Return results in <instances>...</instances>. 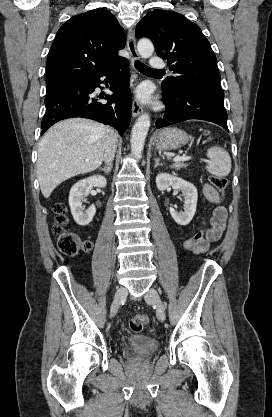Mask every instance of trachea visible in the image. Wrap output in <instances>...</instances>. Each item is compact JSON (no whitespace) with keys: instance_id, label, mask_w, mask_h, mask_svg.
<instances>
[{"instance_id":"trachea-1","label":"trachea","mask_w":272,"mask_h":417,"mask_svg":"<svg viewBox=\"0 0 272 417\" xmlns=\"http://www.w3.org/2000/svg\"><path fill=\"white\" fill-rule=\"evenodd\" d=\"M135 67L142 73L148 74V73H163V71L160 70H154L146 65H144L143 63H141L140 61H136L135 62Z\"/></svg>"}]
</instances>
